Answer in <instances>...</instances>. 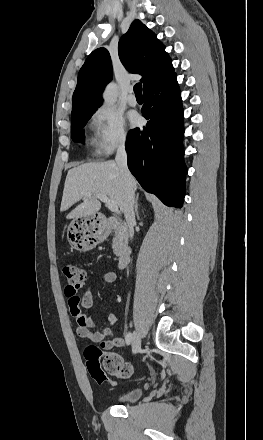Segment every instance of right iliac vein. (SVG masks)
Listing matches in <instances>:
<instances>
[{
  "mask_svg": "<svg viewBox=\"0 0 263 440\" xmlns=\"http://www.w3.org/2000/svg\"><path fill=\"white\" fill-rule=\"evenodd\" d=\"M141 349V339L138 332H134L132 335V353L137 354Z\"/></svg>",
  "mask_w": 263,
  "mask_h": 440,
  "instance_id": "obj_1",
  "label": "right iliac vein"
}]
</instances>
